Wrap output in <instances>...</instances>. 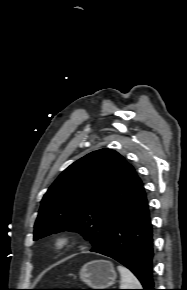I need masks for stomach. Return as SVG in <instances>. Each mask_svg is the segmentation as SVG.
Returning a JSON list of instances; mask_svg holds the SVG:
<instances>
[{
	"instance_id": "1",
	"label": "stomach",
	"mask_w": 187,
	"mask_h": 290,
	"mask_svg": "<svg viewBox=\"0 0 187 290\" xmlns=\"http://www.w3.org/2000/svg\"><path fill=\"white\" fill-rule=\"evenodd\" d=\"M117 274L110 261L93 260L80 270V279L92 289H108L114 284Z\"/></svg>"
}]
</instances>
